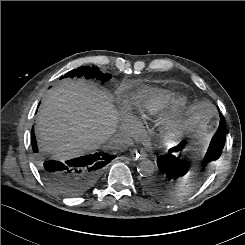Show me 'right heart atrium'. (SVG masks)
Instances as JSON below:
<instances>
[{"label":"right heart atrium","instance_id":"obj_1","mask_svg":"<svg viewBox=\"0 0 245 245\" xmlns=\"http://www.w3.org/2000/svg\"><path fill=\"white\" fill-rule=\"evenodd\" d=\"M121 132L127 137L136 136L140 130V123L137 118L132 114L127 105L123 106L121 123Z\"/></svg>","mask_w":245,"mask_h":245}]
</instances>
